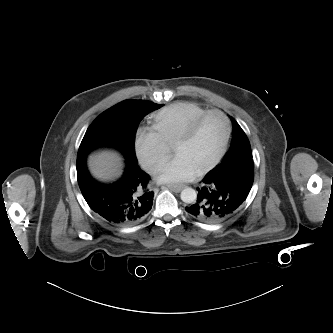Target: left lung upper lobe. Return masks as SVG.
<instances>
[{"instance_id": "1", "label": "left lung upper lobe", "mask_w": 333, "mask_h": 333, "mask_svg": "<svg viewBox=\"0 0 333 333\" xmlns=\"http://www.w3.org/2000/svg\"><path fill=\"white\" fill-rule=\"evenodd\" d=\"M233 123V136L231 146L229 151L224 156L220 164H218L214 169L208 172L209 175H215L222 172L224 169L236 165H246L251 168H254V162L251 152V147L249 140L235 121L234 118H231Z\"/></svg>"}]
</instances>
